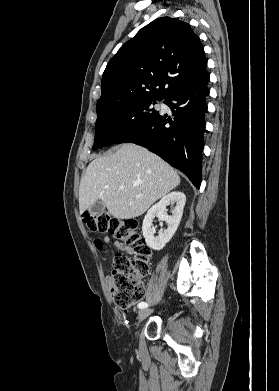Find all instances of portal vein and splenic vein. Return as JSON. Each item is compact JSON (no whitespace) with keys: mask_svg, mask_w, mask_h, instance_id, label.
<instances>
[{"mask_svg":"<svg viewBox=\"0 0 279 391\" xmlns=\"http://www.w3.org/2000/svg\"><path fill=\"white\" fill-rule=\"evenodd\" d=\"M119 188H120V190H123V189H124V187H123V186H120Z\"/></svg>","mask_w":279,"mask_h":391,"instance_id":"18ae733b","label":"portal vein and splenic vein"}]
</instances>
